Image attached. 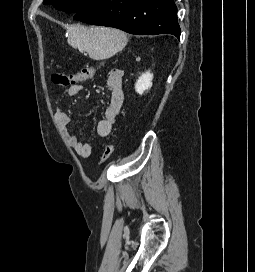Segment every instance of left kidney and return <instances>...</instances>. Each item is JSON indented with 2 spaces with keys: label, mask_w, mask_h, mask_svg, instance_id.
<instances>
[{
  "label": "left kidney",
  "mask_w": 255,
  "mask_h": 272,
  "mask_svg": "<svg viewBox=\"0 0 255 272\" xmlns=\"http://www.w3.org/2000/svg\"><path fill=\"white\" fill-rule=\"evenodd\" d=\"M153 74L150 71L142 73L135 84V90L138 94H143L152 87Z\"/></svg>",
  "instance_id": "1"
}]
</instances>
